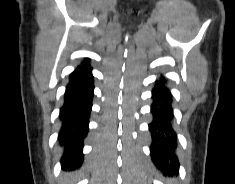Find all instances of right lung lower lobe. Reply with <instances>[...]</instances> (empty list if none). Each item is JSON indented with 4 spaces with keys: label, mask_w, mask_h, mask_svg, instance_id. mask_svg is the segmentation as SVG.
<instances>
[{
    "label": "right lung lower lobe",
    "mask_w": 235,
    "mask_h": 184,
    "mask_svg": "<svg viewBox=\"0 0 235 184\" xmlns=\"http://www.w3.org/2000/svg\"><path fill=\"white\" fill-rule=\"evenodd\" d=\"M89 59L70 74L64 95L60 119L61 144L65 145L61 164L64 169H73L83 162V141L88 133V123L93 99V76Z\"/></svg>",
    "instance_id": "right-lung-lower-lobe-1"
}]
</instances>
